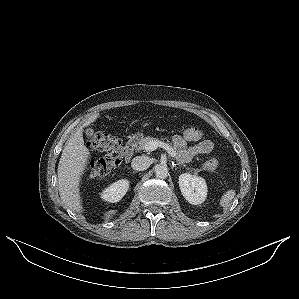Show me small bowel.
<instances>
[{
	"mask_svg": "<svg viewBox=\"0 0 299 299\" xmlns=\"http://www.w3.org/2000/svg\"><path fill=\"white\" fill-rule=\"evenodd\" d=\"M172 141L179 159L183 162H188L196 156L208 155L214 148L213 142L208 139L200 140L192 146H187L186 140L179 135H175Z\"/></svg>",
	"mask_w": 299,
	"mask_h": 299,
	"instance_id": "obj_1",
	"label": "small bowel"
}]
</instances>
